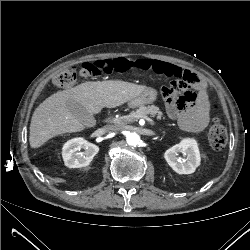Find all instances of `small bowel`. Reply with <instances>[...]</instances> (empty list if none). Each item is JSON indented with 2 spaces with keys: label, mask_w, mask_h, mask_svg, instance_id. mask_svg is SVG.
Listing matches in <instances>:
<instances>
[{
  "label": "small bowel",
  "mask_w": 250,
  "mask_h": 250,
  "mask_svg": "<svg viewBox=\"0 0 250 250\" xmlns=\"http://www.w3.org/2000/svg\"><path fill=\"white\" fill-rule=\"evenodd\" d=\"M133 67L139 70L153 71L170 77L183 78L185 71H188L173 63L150 59L139 58L133 62ZM194 88L198 91V99L191 106L187 105L181 97L175 100L171 96V88H164L163 94L166 100L167 114L171 119H177L180 126L190 132L203 131L210 122L209 100L205 91V84L200 79L198 84L183 83L181 89Z\"/></svg>",
  "instance_id": "1"
}]
</instances>
